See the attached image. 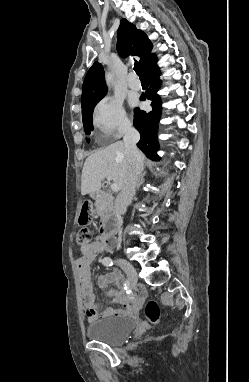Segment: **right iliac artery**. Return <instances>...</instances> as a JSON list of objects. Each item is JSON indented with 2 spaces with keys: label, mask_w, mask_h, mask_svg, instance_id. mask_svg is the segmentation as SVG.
Masks as SVG:
<instances>
[{
  "label": "right iliac artery",
  "mask_w": 249,
  "mask_h": 382,
  "mask_svg": "<svg viewBox=\"0 0 249 382\" xmlns=\"http://www.w3.org/2000/svg\"><path fill=\"white\" fill-rule=\"evenodd\" d=\"M103 264L105 265V266H112L113 265V261H112V259L111 258H109V257H105L104 259H103Z\"/></svg>",
  "instance_id": "82829eb1"
}]
</instances>
